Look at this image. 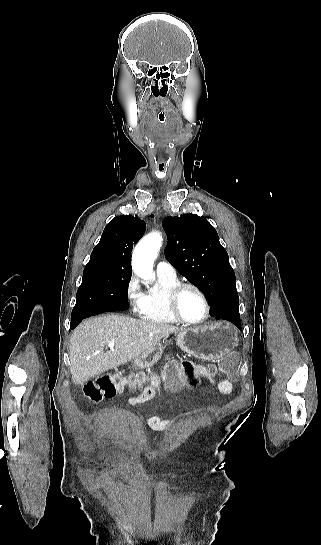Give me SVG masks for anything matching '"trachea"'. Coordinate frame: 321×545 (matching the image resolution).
Listing matches in <instances>:
<instances>
[{"instance_id":"obj_1","label":"trachea","mask_w":321,"mask_h":545,"mask_svg":"<svg viewBox=\"0 0 321 545\" xmlns=\"http://www.w3.org/2000/svg\"><path fill=\"white\" fill-rule=\"evenodd\" d=\"M165 118H166V115L164 113H159L158 114V122L160 124H163L165 122Z\"/></svg>"}]
</instances>
